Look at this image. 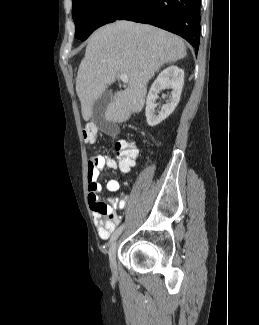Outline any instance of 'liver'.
Listing matches in <instances>:
<instances>
[{
    "label": "liver",
    "mask_w": 259,
    "mask_h": 325,
    "mask_svg": "<svg viewBox=\"0 0 259 325\" xmlns=\"http://www.w3.org/2000/svg\"><path fill=\"white\" fill-rule=\"evenodd\" d=\"M181 38L152 25L116 21L90 37L77 77L82 116L89 121L94 102L121 74L129 78L124 90L112 95L105 111L109 122L122 123L144 106L147 83L165 63L186 57Z\"/></svg>",
    "instance_id": "1"
}]
</instances>
